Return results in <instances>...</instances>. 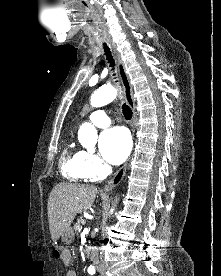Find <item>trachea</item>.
<instances>
[{
  "instance_id": "3493384b",
  "label": "trachea",
  "mask_w": 221,
  "mask_h": 276,
  "mask_svg": "<svg viewBox=\"0 0 221 276\" xmlns=\"http://www.w3.org/2000/svg\"><path fill=\"white\" fill-rule=\"evenodd\" d=\"M103 48H104V52H105V55H106V59H107L108 63L110 64V67H112V69H113L114 66H115V62H114L113 56L111 54V51H110V49H109V47L107 46L106 43H103ZM122 111H123L124 117L127 120H130L132 118V110L125 103L122 105Z\"/></svg>"
}]
</instances>
